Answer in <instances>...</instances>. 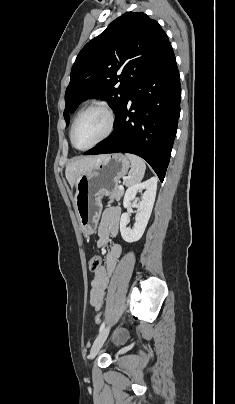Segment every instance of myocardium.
Instances as JSON below:
<instances>
[{
    "instance_id": "obj_1",
    "label": "myocardium",
    "mask_w": 235,
    "mask_h": 404,
    "mask_svg": "<svg viewBox=\"0 0 235 404\" xmlns=\"http://www.w3.org/2000/svg\"><path fill=\"white\" fill-rule=\"evenodd\" d=\"M91 110L103 111L108 117V126L106 129V132L103 134V136L101 138H99L96 142H94L90 146L81 148V147H78L74 142V137H73L74 130H75L76 124H77L78 120L81 118V116ZM114 126H115V113L109 105H107L105 103L91 104V105L85 107L84 109H82L75 117V119L72 123L71 129H70V141L77 150H81V151L89 150V149L95 147L96 145H98L99 143L103 142L104 140H106L112 134V132L114 130Z\"/></svg>"
}]
</instances>
